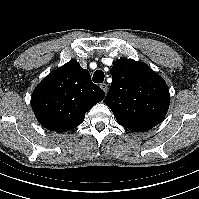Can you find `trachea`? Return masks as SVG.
Returning <instances> with one entry per match:
<instances>
[{
  "label": "trachea",
  "mask_w": 199,
  "mask_h": 199,
  "mask_svg": "<svg viewBox=\"0 0 199 199\" xmlns=\"http://www.w3.org/2000/svg\"><path fill=\"white\" fill-rule=\"evenodd\" d=\"M104 81V73L102 70H96L93 75L94 83H102Z\"/></svg>",
  "instance_id": "trachea-1"
}]
</instances>
